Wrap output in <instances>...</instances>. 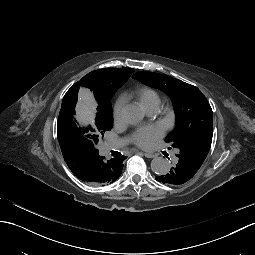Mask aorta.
<instances>
[{"label":"aorta","instance_id":"762f6f07","mask_svg":"<svg viewBox=\"0 0 255 255\" xmlns=\"http://www.w3.org/2000/svg\"><path fill=\"white\" fill-rule=\"evenodd\" d=\"M123 119L129 124L139 123L144 113L142 109L136 105H127L122 110ZM169 163L163 157H156L151 161V170L158 175H164L169 172Z\"/></svg>","mask_w":255,"mask_h":255}]
</instances>
